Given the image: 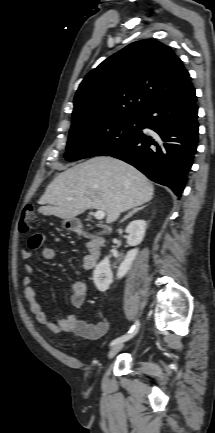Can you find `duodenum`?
<instances>
[{"instance_id":"1","label":"duodenum","mask_w":215,"mask_h":433,"mask_svg":"<svg viewBox=\"0 0 215 433\" xmlns=\"http://www.w3.org/2000/svg\"><path fill=\"white\" fill-rule=\"evenodd\" d=\"M68 226L75 232L90 237V240L87 243L88 255L94 261V263H96L101 255V249L103 245L102 236L96 232L85 230L81 222L76 219H70Z\"/></svg>"}]
</instances>
